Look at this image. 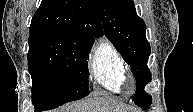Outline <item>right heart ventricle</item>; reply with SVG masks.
<instances>
[{
    "instance_id": "1",
    "label": "right heart ventricle",
    "mask_w": 193,
    "mask_h": 112,
    "mask_svg": "<svg viewBox=\"0 0 193 112\" xmlns=\"http://www.w3.org/2000/svg\"><path fill=\"white\" fill-rule=\"evenodd\" d=\"M88 69L95 83L113 93H121L127 83L126 64L116 45L100 40L92 49Z\"/></svg>"
}]
</instances>
